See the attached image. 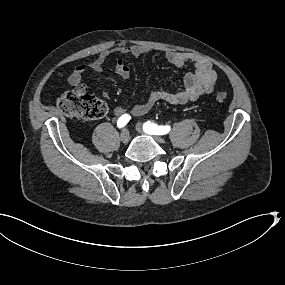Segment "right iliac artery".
I'll use <instances>...</instances> for the list:
<instances>
[{
	"label": "right iliac artery",
	"mask_w": 285,
	"mask_h": 285,
	"mask_svg": "<svg viewBox=\"0 0 285 285\" xmlns=\"http://www.w3.org/2000/svg\"><path fill=\"white\" fill-rule=\"evenodd\" d=\"M130 119H131L130 115H128V114L122 115L117 121V126L119 128L124 127L129 122Z\"/></svg>",
	"instance_id": "1"
}]
</instances>
